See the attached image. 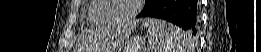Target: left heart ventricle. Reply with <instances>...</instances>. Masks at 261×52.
<instances>
[{
    "mask_svg": "<svg viewBox=\"0 0 261 52\" xmlns=\"http://www.w3.org/2000/svg\"><path fill=\"white\" fill-rule=\"evenodd\" d=\"M109 8L104 11L103 18L117 20L126 16L134 7L135 0H107Z\"/></svg>",
    "mask_w": 261,
    "mask_h": 52,
    "instance_id": "b2bd125f",
    "label": "left heart ventricle"
}]
</instances>
